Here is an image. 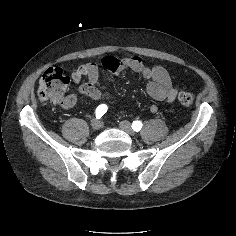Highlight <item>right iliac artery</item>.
<instances>
[{"label":"right iliac artery","instance_id":"82829eb1","mask_svg":"<svg viewBox=\"0 0 236 236\" xmlns=\"http://www.w3.org/2000/svg\"><path fill=\"white\" fill-rule=\"evenodd\" d=\"M107 106L105 104H101L96 109V118H101L107 112Z\"/></svg>","mask_w":236,"mask_h":236}]
</instances>
